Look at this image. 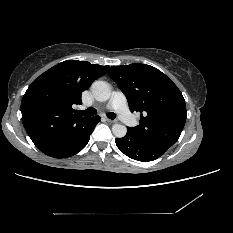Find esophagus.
Masks as SVG:
<instances>
[{"label": "esophagus", "mask_w": 233, "mask_h": 233, "mask_svg": "<svg viewBox=\"0 0 233 233\" xmlns=\"http://www.w3.org/2000/svg\"><path fill=\"white\" fill-rule=\"evenodd\" d=\"M105 120H106L108 123H115V120H111V119H108V118H105Z\"/></svg>", "instance_id": "1"}]
</instances>
